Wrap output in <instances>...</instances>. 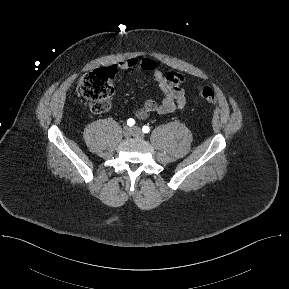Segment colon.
<instances>
[{
  "instance_id": "5ec220e1",
  "label": "colon",
  "mask_w": 289,
  "mask_h": 289,
  "mask_svg": "<svg viewBox=\"0 0 289 289\" xmlns=\"http://www.w3.org/2000/svg\"><path fill=\"white\" fill-rule=\"evenodd\" d=\"M113 68H100L82 76L78 82V92L88 101L90 109L95 113H103L110 109V98L113 94ZM201 98L209 103L216 102L215 91L204 85L197 86Z\"/></svg>"
}]
</instances>
